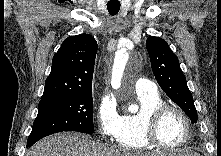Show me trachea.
<instances>
[{
	"label": "trachea",
	"instance_id": "trachea-1",
	"mask_svg": "<svg viewBox=\"0 0 221 156\" xmlns=\"http://www.w3.org/2000/svg\"><path fill=\"white\" fill-rule=\"evenodd\" d=\"M107 9L110 15H116L120 10V2L118 0H110L107 3Z\"/></svg>",
	"mask_w": 221,
	"mask_h": 156
}]
</instances>
